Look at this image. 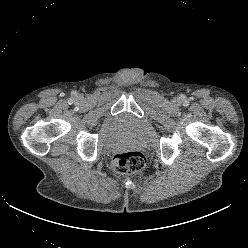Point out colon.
I'll use <instances>...</instances> for the list:
<instances>
[{
	"mask_svg": "<svg viewBox=\"0 0 248 248\" xmlns=\"http://www.w3.org/2000/svg\"><path fill=\"white\" fill-rule=\"evenodd\" d=\"M146 164L145 156L139 151L120 152L113 156L112 168L118 174H134Z\"/></svg>",
	"mask_w": 248,
	"mask_h": 248,
	"instance_id": "obj_1",
	"label": "colon"
}]
</instances>
